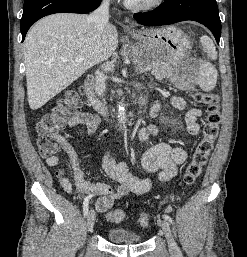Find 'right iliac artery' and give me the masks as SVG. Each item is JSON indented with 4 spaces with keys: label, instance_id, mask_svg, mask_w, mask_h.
<instances>
[{
    "label": "right iliac artery",
    "instance_id": "right-iliac-artery-1",
    "mask_svg": "<svg viewBox=\"0 0 247 257\" xmlns=\"http://www.w3.org/2000/svg\"><path fill=\"white\" fill-rule=\"evenodd\" d=\"M91 196H86L83 202V212L84 215L86 216L88 214V208H89V200Z\"/></svg>",
    "mask_w": 247,
    "mask_h": 257
}]
</instances>
